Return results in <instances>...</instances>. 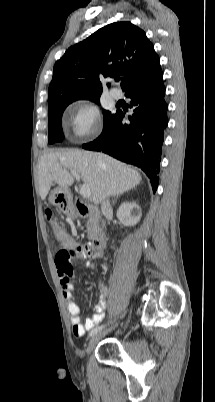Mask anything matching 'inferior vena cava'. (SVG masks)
<instances>
[{
    "label": "inferior vena cava",
    "mask_w": 215,
    "mask_h": 402,
    "mask_svg": "<svg viewBox=\"0 0 215 402\" xmlns=\"http://www.w3.org/2000/svg\"><path fill=\"white\" fill-rule=\"evenodd\" d=\"M102 214L105 215L107 212L111 211V205L108 198L104 199L101 205Z\"/></svg>",
    "instance_id": "obj_1"
}]
</instances>
